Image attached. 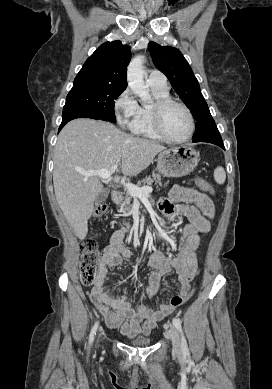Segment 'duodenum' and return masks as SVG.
Returning <instances> with one entry per match:
<instances>
[{"instance_id":"duodenum-1","label":"duodenum","mask_w":272,"mask_h":389,"mask_svg":"<svg viewBox=\"0 0 272 389\" xmlns=\"http://www.w3.org/2000/svg\"><path fill=\"white\" fill-rule=\"evenodd\" d=\"M111 197L115 203H120L122 200V196H121L120 192H118V191H112ZM119 233L124 236V233L122 231H120Z\"/></svg>"}]
</instances>
